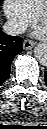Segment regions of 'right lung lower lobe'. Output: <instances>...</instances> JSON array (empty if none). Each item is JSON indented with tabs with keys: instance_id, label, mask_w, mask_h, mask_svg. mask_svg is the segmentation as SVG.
<instances>
[{
	"instance_id": "obj_1",
	"label": "right lung lower lobe",
	"mask_w": 47,
	"mask_h": 129,
	"mask_svg": "<svg viewBox=\"0 0 47 129\" xmlns=\"http://www.w3.org/2000/svg\"><path fill=\"white\" fill-rule=\"evenodd\" d=\"M22 51V39L0 30V85L8 78L14 57Z\"/></svg>"
}]
</instances>
